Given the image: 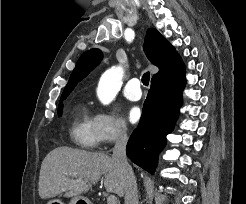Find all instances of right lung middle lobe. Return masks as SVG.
<instances>
[{"label":"right lung middle lobe","instance_id":"right-lung-middle-lobe-1","mask_svg":"<svg viewBox=\"0 0 246 204\" xmlns=\"http://www.w3.org/2000/svg\"><path fill=\"white\" fill-rule=\"evenodd\" d=\"M66 98L65 97H61L60 99V104H59V107H58V114L61 115V112H62V101Z\"/></svg>","mask_w":246,"mask_h":204}]
</instances>
